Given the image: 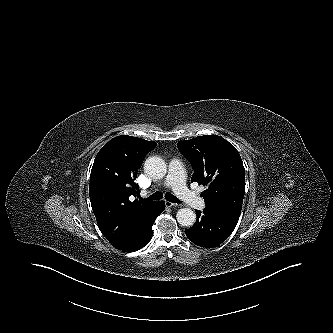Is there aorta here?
<instances>
[{
  "label": "aorta",
  "instance_id": "1",
  "mask_svg": "<svg viewBox=\"0 0 333 333\" xmlns=\"http://www.w3.org/2000/svg\"><path fill=\"white\" fill-rule=\"evenodd\" d=\"M145 172L156 179H161L166 175L167 166L165 161L159 156H152L144 163ZM177 221L182 226H192L196 220V214L189 208H182L176 214Z\"/></svg>",
  "mask_w": 333,
  "mask_h": 333
}]
</instances>
